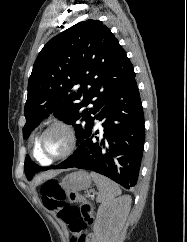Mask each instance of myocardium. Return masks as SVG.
<instances>
[{"label": "myocardium", "instance_id": "obj_1", "mask_svg": "<svg viewBox=\"0 0 187 242\" xmlns=\"http://www.w3.org/2000/svg\"><path fill=\"white\" fill-rule=\"evenodd\" d=\"M54 129H59V130H62L63 132H65V134L67 136V146H66V149L61 154H58L55 156H48L43 152L42 142H43L45 136ZM76 144H77V136H76L74 127L65 121L57 120V121H54L51 124H49L43 130V132L39 135L37 147H38L39 153L44 157V159L47 162L50 163L52 161H56V160H60V159L68 157L74 151Z\"/></svg>", "mask_w": 187, "mask_h": 242}]
</instances>
